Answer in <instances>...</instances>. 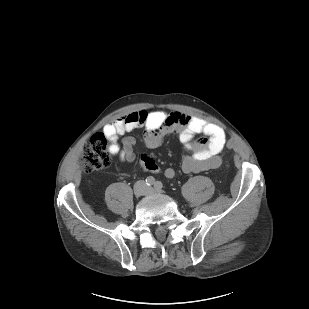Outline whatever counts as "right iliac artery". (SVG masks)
I'll return each mask as SVG.
<instances>
[{
	"label": "right iliac artery",
	"instance_id": "1",
	"mask_svg": "<svg viewBox=\"0 0 309 309\" xmlns=\"http://www.w3.org/2000/svg\"><path fill=\"white\" fill-rule=\"evenodd\" d=\"M146 184H147L148 186H151V185L155 184V179H154L152 176L147 177V179H146Z\"/></svg>",
	"mask_w": 309,
	"mask_h": 309
}]
</instances>
